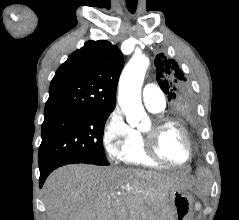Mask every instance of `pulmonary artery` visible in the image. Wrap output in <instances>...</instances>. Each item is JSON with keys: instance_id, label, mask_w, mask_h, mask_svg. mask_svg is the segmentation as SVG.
<instances>
[{"instance_id": "obj_1", "label": "pulmonary artery", "mask_w": 239, "mask_h": 220, "mask_svg": "<svg viewBox=\"0 0 239 220\" xmlns=\"http://www.w3.org/2000/svg\"><path fill=\"white\" fill-rule=\"evenodd\" d=\"M144 104L149 109L163 110L166 106V100L162 90L155 84H146L142 91Z\"/></svg>"}]
</instances>
